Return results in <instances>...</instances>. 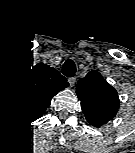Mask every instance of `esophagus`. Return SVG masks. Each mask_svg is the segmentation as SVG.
<instances>
[{
  "label": "esophagus",
  "mask_w": 135,
  "mask_h": 153,
  "mask_svg": "<svg viewBox=\"0 0 135 153\" xmlns=\"http://www.w3.org/2000/svg\"><path fill=\"white\" fill-rule=\"evenodd\" d=\"M69 85L72 87L76 82V77H71L68 79Z\"/></svg>",
  "instance_id": "obj_1"
}]
</instances>
